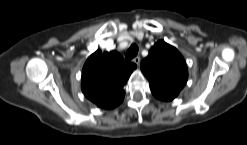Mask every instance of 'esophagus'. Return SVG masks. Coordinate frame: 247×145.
<instances>
[{"label": "esophagus", "instance_id": "1", "mask_svg": "<svg viewBox=\"0 0 247 145\" xmlns=\"http://www.w3.org/2000/svg\"><path fill=\"white\" fill-rule=\"evenodd\" d=\"M135 64H139L140 63V57L139 56H136V57H134L133 58V60H132Z\"/></svg>", "mask_w": 247, "mask_h": 145}]
</instances>
